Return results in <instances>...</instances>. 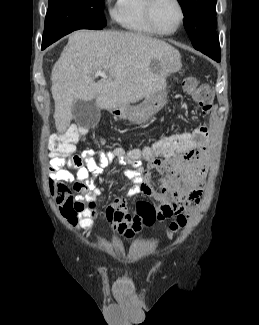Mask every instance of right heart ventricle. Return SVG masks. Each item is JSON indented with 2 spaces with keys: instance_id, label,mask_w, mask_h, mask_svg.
<instances>
[{
  "instance_id": "e07e8e85",
  "label": "right heart ventricle",
  "mask_w": 259,
  "mask_h": 325,
  "mask_svg": "<svg viewBox=\"0 0 259 325\" xmlns=\"http://www.w3.org/2000/svg\"><path fill=\"white\" fill-rule=\"evenodd\" d=\"M145 0H117L113 18L123 28L146 35L156 34L145 18Z\"/></svg>"
}]
</instances>
